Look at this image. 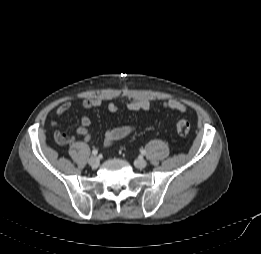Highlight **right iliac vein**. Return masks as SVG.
<instances>
[{"label": "right iliac vein", "instance_id": "right-iliac-vein-1", "mask_svg": "<svg viewBox=\"0 0 261 254\" xmlns=\"http://www.w3.org/2000/svg\"><path fill=\"white\" fill-rule=\"evenodd\" d=\"M88 163L92 168H97L99 166V158L96 156H92L88 159Z\"/></svg>", "mask_w": 261, "mask_h": 254}]
</instances>
